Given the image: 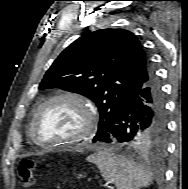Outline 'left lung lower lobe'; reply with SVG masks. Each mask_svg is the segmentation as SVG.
Returning <instances> with one entry per match:
<instances>
[{"label": "left lung lower lobe", "mask_w": 188, "mask_h": 189, "mask_svg": "<svg viewBox=\"0 0 188 189\" xmlns=\"http://www.w3.org/2000/svg\"><path fill=\"white\" fill-rule=\"evenodd\" d=\"M165 128L164 98L158 79L153 74L133 91L109 131L93 142L133 146V141L145 132L161 134Z\"/></svg>", "instance_id": "left-lung-lower-lobe-1"}]
</instances>
